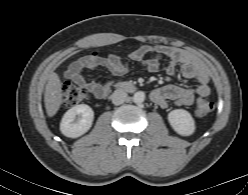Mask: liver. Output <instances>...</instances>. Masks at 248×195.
<instances>
[{"label": "liver", "instance_id": "obj_1", "mask_svg": "<svg viewBox=\"0 0 248 195\" xmlns=\"http://www.w3.org/2000/svg\"><path fill=\"white\" fill-rule=\"evenodd\" d=\"M62 83L56 73H51L45 87L44 102L47 115L54 116L62 104Z\"/></svg>", "mask_w": 248, "mask_h": 195}]
</instances>
